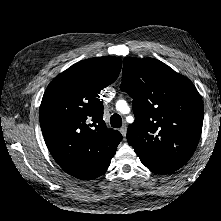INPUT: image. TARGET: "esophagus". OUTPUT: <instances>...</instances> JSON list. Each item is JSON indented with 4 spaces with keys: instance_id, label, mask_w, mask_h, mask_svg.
<instances>
[{
    "instance_id": "1",
    "label": "esophagus",
    "mask_w": 221,
    "mask_h": 221,
    "mask_svg": "<svg viewBox=\"0 0 221 221\" xmlns=\"http://www.w3.org/2000/svg\"><path fill=\"white\" fill-rule=\"evenodd\" d=\"M121 134L123 135V137L126 136V125H123L120 129Z\"/></svg>"
}]
</instances>
